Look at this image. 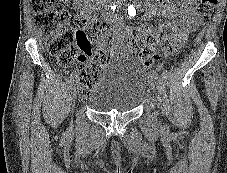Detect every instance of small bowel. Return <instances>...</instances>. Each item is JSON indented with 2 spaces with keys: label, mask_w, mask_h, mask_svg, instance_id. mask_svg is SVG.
I'll return each mask as SVG.
<instances>
[{
  "label": "small bowel",
  "mask_w": 227,
  "mask_h": 173,
  "mask_svg": "<svg viewBox=\"0 0 227 173\" xmlns=\"http://www.w3.org/2000/svg\"><path fill=\"white\" fill-rule=\"evenodd\" d=\"M178 6L169 0H162L153 5H149L150 12L148 17L162 16L169 20L164 25L165 33L159 34V30L145 25L133 27L124 25L119 16L112 17L118 32L111 36L108 42L101 41L99 49L114 57H125L133 53L131 41L134 38L150 37L162 35L165 44L161 47L166 55H171L183 42L185 36L193 31L199 24V17L196 12V0H177ZM126 14L136 11L135 1H129Z\"/></svg>",
  "instance_id": "c3829d8e"
}]
</instances>
